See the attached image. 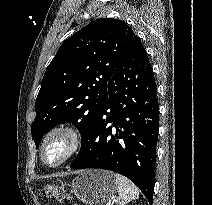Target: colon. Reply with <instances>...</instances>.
<instances>
[{"mask_svg":"<svg viewBox=\"0 0 212 205\" xmlns=\"http://www.w3.org/2000/svg\"><path fill=\"white\" fill-rule=\"evenodd\" d=\"M44 197L52 200L61 201L67 198L65 186L61 182H52L43 189Z\"/></svg>","mask_w":212,"mask_h":205,"instance_id":"colon-1","label":"colon"}]
</instances>
